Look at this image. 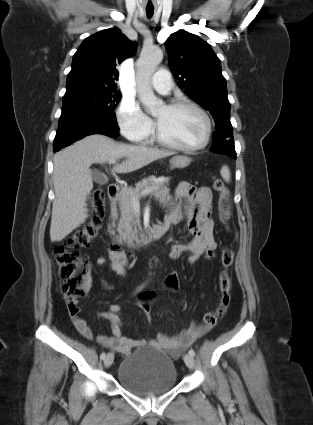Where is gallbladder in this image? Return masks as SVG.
I'll use <instances>...</instances> for the list:
<instances>
[{
  "instance_id": "1",
  "label": "gallbladder",
  "mask_w": 313,
  "mask_h": 425,
  "mask_svg": "<svg viewBox=\"0 0 313 425\" xmlns=\"http://www.w3.org/2000/svg\"><path fill=\"white\" fill-rule=\"evenodd\" d=\"M92 177H93V180L96 182V183H98V184H105L106 183V176L103 174V173H101V172H99V171H93L92 172Z\"/></svg>"
}]
</instances>
